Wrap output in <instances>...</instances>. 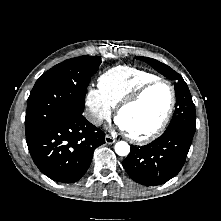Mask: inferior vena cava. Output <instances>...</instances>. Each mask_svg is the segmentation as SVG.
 <instances>
[{
  "label": "inferior vena cava",
  "mask_w": 221,
  "mask_h": 221,
  "mask_svg": "<svg viewBox=\"0 0 221 221\" xmlns=\"http://www.w3.org/2000/svg\"><path fill=\"white\" fill-rule=\"evenodd\" d=\"M89 121L92 122L94 125H101L102 124V119L97 117V116H93L90 115L88 117Z\"/></svg>",
  "instance_id": "obj_1"
}]
</instances>
